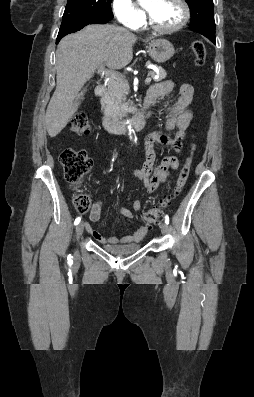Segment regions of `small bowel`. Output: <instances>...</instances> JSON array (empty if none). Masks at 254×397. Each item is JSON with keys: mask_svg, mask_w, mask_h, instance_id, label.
Here are the masks:
<instances>
[{"mask_svg": "<svg viewBox=\"0 0 254 397\" xmlns=\"http://www.w3.org/2000/svg\"><path fill=\"white\" fill-rule=\"evenodd\" d=\"M176 84L172 80H165L156 83L150 87L147 99L150 103L160 96L170 94L175 89ZM194 89L189 83H182L179 86V95L170 110L167 117L165 128L167 131L177 130L174 137H169L160 132H152L145 139V162L140 170H134L132 175L136 177L148 192H154L160 185L164 184L170 175L171 170L177 169L179 161L175 155L165 156L160 164L155 167L156 163V145H165L173 149L175 153H182V141L185 138L186 130L192 121L193 114L188 109ZM133 209L140 211L142 204L138 199L133 201ZM114 213L120 214L128 219L133 218V213L124 207L114 209ZM101 216V202L96 201L92 204L89 218L92 222H96ZM87 232L99 243L107 245H116L120 243H137L144 239L147 235V228L140 227L134 234L118 237H105L90 225H86Z\"/></svg>", "mask_w": 254, "mask_h": 397, "instance_id": "obj_1", "label": "small bowel"}]
</instances>
